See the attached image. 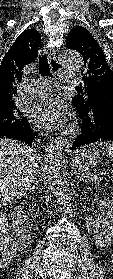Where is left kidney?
Instances as JSON below:
<instances>
[{
	"instance_id": "1",
	"label": "left kidney",
	"mask_w": 113,
	"mask_h": 279,
	"mask_svg": "<svg viewBox=\"0 0 113 279\" xmlns=\"http://www.w3.org/2000/svg\"><path fill=\"white\" fill-rule=\"evenodd\" d=\"M102 210L93 225L95 244L99 248H107L113 241V202L100 200Z\"/></svg>"
}]
</instances>
